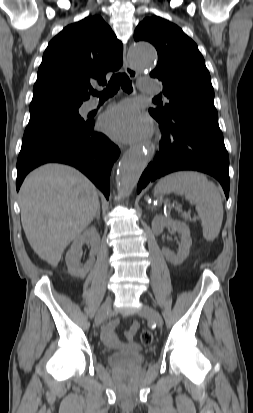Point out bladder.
Segmentation results:
<instances>
[{"mask_svg":"<svg viewBox=\"0 0 253 413\" xmlns=\"http://www.w3.org/2000/svg\"><path fill=\"white\" fill-rule=\"evenodd\" d=\"M107 361L116 368H133L140 366L145 361V355L140 348L134 347L110 354Z\"/></svg>","mask_w":253,"mask_h":413,"instance_id":"obj_1","label":"bladder"}]
</instances>
